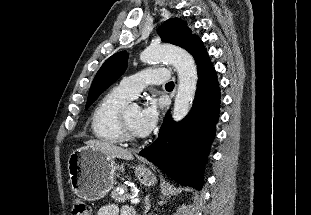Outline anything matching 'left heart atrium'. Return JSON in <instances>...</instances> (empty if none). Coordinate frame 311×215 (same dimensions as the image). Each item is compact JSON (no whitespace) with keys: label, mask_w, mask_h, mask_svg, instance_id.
I'll use <instances>...</instances> for the list:
<instances>
[{"label":"left heart atrium","mask_w":311,"mask_h":215,"mask_svg":"<svg viewBox=\"0 0 311 215\" xmlns=\"http://www.w3.org/2000/svg\"><path fill=\"white\" fill-rule=\"evenodd\" d=\"M159 110L156 102L147 103L138 114L135 122V133L140 137L147 136L156 126Z\"/></svg>","instance_id":"left-heart-atrium-1"}]
</instances>
